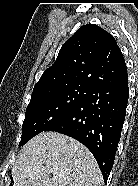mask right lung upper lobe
I'll use <instances>...</instances> for the list:
<instances>
[{
    "instance_id": "obj_1",
    "label": "right lung upper lobe",
    "mask_w": 138,
    "mask_h": 186,
    "mask_svg": "<svg viewBox=\"0 0 138 186\" xmlns=\"http://www.w3.org/2000/svg\"><path fill=\"white\" fill-rule=\"evenodd\" d=\"M127 81L125 60L114 37L95 24H87L63 44L33 93L70 85L119 86Z\"/></svg>"
}]
</instances>
